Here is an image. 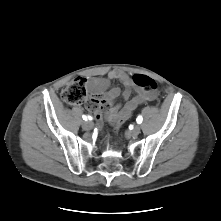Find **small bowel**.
I'll return each mask as SVG.
<instances>
[{"label":"small bowel","mask_w":221,"mask_h":221,"mask_svg":"<svg viewBox=\"0 0 221 221\" xmlns=\"http://www.w3.org/2000/svg\"><path fill=\"white\" fill-rule=\"evenodd\" d=\"M136 75L142 74L130 75L122 70H112L106 78L85 79L91 94V106L88 108L93 112L97 121L105 117L110 124H121L132 115L139 105L156 98V92L143 90L135 84ZM115 80L124 85L122 97L126 102L123 106L114 103V100L121 94L118 87L110 88V83Z\"/></svg>","instance_id":"small-bowel-1"}]
</instances>
